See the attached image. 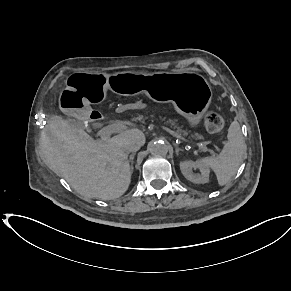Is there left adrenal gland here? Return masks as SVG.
<instances>
[{"label": "left adrenal gland", "instance_id": "1", "mask_svg": "<svg viewBox=\"0 0 291 291\" xmlns=\"http://www.w3.org/2000/svg\"><path fill=\"white\" fill-rule=\"evenodd\" d=\"M175 145V151H176V155H179V151H181L182 149H180L176 144Z\"/></svg>", "mask_w": 291, "mask_h": 291}]
</instances>
